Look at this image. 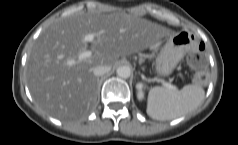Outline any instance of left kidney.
<instances>
[{
    "instance_id": "5707ae66",
    "label": "left kidney",
    "mask_w": 238,
    "mask_h": 145,
    "mask_svg": "<svg viewBox=\"0 0 238 145\" xmlns=\"http://www.w3.org/2000/svg\"><path fill=\"white\" fill-rule=\"evenodd\" d=\"M136 89H137V98L139 100H143L144 99V91H143L144 85L142 83H138L136 85Z\"/></svg>"
}]
</instances>
